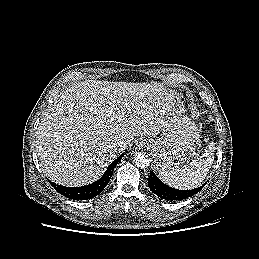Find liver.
Returning a JSON list of instances; mask_svg holds the SVG:
<instances>
[{
	"label": "liver",
	"mask_w": 259,
	"mask_h": 259,
	"mask_svg": "<svg viewBox=\"0 0 259 259\" xmlns=\"http://www.w3.org/2000/svg\"><path fill=\"white\" fill-rule=\"evenodd\" d=\"M167 90L159 83L87 80L63 91L41 118L36 153L43 173L64 186L98 180L135 136L155 137L165 124ZM125 147V148H126Z\"/></svg>",
	"instance_id": "6515ba94"
}]
</instances>
